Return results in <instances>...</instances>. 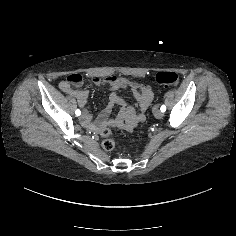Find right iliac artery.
Segmentation results:
<instances>
[{
  "mask_svg": "<svg viewBox=\"0 0 236 236\" xmlns=\"http://www.w3.org/2000/svg\"><path fill=\"white\" fill-rule=\"evenodd\" d=\"M75 114H76L77 116H79V115L81 114V111H80L79 109H77V110L75 111Z\"/></svg>",
  "mask_w": 236,
  "mask_h": 236,
  "instance_id": "1",
  "label": "right iliac artery"
}]
</instances>
